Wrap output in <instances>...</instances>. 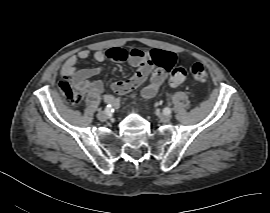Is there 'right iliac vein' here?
I'll return each instance as SVG.
<instances>
[{
    "label": "right iliac vein",
    "instance_id": "1",
    "mask_svg": "<svg viewBox=\"0 0 270 213\" xmlns=\"http://www.w3.org/2000/svg\"><path fill=\"white\" fill-rule=\"evenodd\" d=\"M97 117L100 121H105L108 118V113L104 111H99Z\"/></svg>",
    "mask_w": 270,
    "mask_h": 213
}]
</instances>
